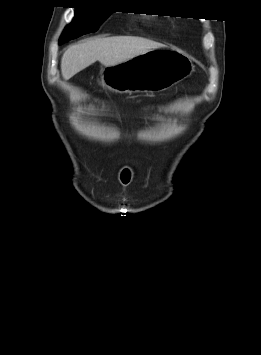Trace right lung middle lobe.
Segmentation results:
<instances>
[{"mask_svg":"<svg viewBox=\"0 0 261 355\" xmlns=\"http://www.w3.org/2000/svg\"><path fill=\"white\" fill-rule=\"evenodd\" d=\"M112 11H102L90 8H76L72 22L64 29L60 40L74 39L83 34L94 32Z\"/></svg>","mask_w":261,"mask_h":355,"instance_id":"obj_1","label":"right lung middle lobe"}]
</instances>
